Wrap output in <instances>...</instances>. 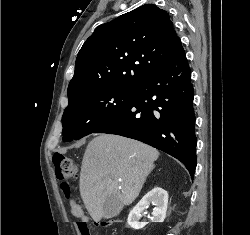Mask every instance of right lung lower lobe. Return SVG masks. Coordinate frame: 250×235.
<instances>
[{"label":"right lung lower lobe","mask_w":250,"mask_h":235,"mask_svg":"<svg viewBox=\"0 0 250 235\" xmlns=\"http://www.w3.org/2000/svg\"><path fill=\"white\" fill-rule=\"evenodd\" d=\"M191 70L179 41L170 60L141 81L126 105L93 133L129 137L181 161L191 177L196 168Z\"/></svg>","instance_id":"obj_1"}]
</instances>
